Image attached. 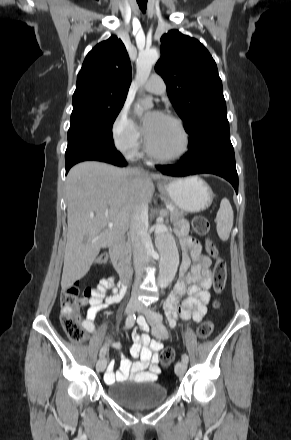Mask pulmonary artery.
<instances>
[{
    "label": "pulmonary artery",
    "instance_id": "1",
    "mask_svg": "<svg viewBox=\"0 0 291 440\" xmlns=\"http://www.w3.org/2000/svg\"><path fill=\"white\" fill-rule=\"evenodd\" d=\"M144 88L150 93L160 95L165 92L166 84L164 79L160 75L153 74L144 85Z\"/></svg>",
    "mask_w": 291,
    "mask_h": 440
}]
</instances>
